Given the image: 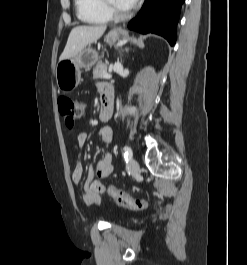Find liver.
Returning a JSON list of instances; mask_svg holds the SVG:
<instances>
[{"mask_svg": "<svg viewBox=\"0 0 247 265\" xmlns=\"http://www.w3.org/2000/svg\"><path fill=\"white\" fill-rule=\"evenodd\" d=\"M106 26H78L71 30L66 46L59 60L70 59L88 44L97 41L105 32Z\"/></svg>", "mask_w": 247, "mask_h": 265, "instance_id": "liver-1", "label": "liver"}]
</instances>
